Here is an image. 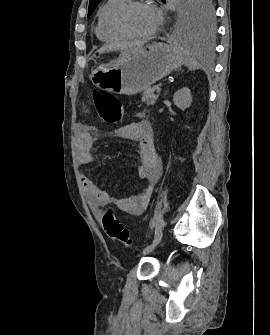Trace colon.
Listing matches in <instances>:
<instances>
[{
	"mask_svg": "<svg viewBox=\"0 0 270 335\" xmlns=\"http://www.w3.org/2000/svg\"><path fill=\"white\" fill-rule=\"evenodd\" d=\"M91 99L103 122L115 124L121 119L123 110L116 95H112L103 89L93 88L91 90ZM103 227L110 238L121 243L126 248L130 249L133 247V240L129 231L112 209H107L103 214Z\"/></svg>",
	"mask_w": 270,
	"mask_h": 335,
	"instance_id": "colon-1",
	"label": "colon"
}]
</instances>
